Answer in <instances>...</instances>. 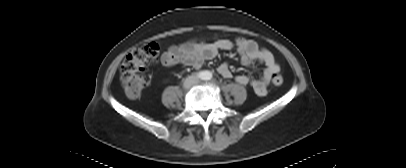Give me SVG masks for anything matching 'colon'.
<instances>
[{"label": "colon", "mask_w": 406, "mask_h": 168, "mask_svg": "<svg viewBox=\"0 0 406 168\" xmlns=\"http://www.w3.org/2000/svg\"><path fill=\"white\" fill-rule=\"evenodd\" d=\"M159 49L157 42H148L131 52L123 61L120 68V81L128 97L138 98L148 85L145 72L149 65L157 61ZM271 79L275 86L283 83V78L278 72L274 73Z\"/></svg>", "instance_id": "5ec220e1"}]
</instances>
